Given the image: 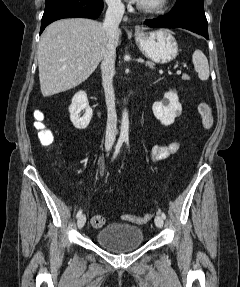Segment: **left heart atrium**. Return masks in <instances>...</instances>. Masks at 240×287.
I'll return each instance as SVG.
<instances>
[{
	"label": "left heart atrium",
	"instance_id": "obj_1",
	"mask_svg": "<svg viewBox=\"0 0 240 287\" xmlns=\"http://www.w3.org/2000/svg\"><path fill=\"white\" fill-rule=\"evenodd\" d=\"M131 1H133V2H140L141 0H131Z\"/></svg>",
	"mask_w": 240,
	"mask_h": 287
}]
</instances>
